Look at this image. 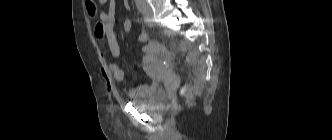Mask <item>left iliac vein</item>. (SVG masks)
I'll return each mask as SVG.
<instances>
[{
  "instance_id": "4c4485c4",
  "label": "left iliac vein",
  "mask_w": 332,
  "mask_h": 140,
  "mask_svg": "<svg viewBox=\"0 0 332 140\" xmlns=\"http://www.w3.org/2000/svg\"><path fill=\"white\" fill-rule=\"evenodd\" d=\"M143 15L146 23H148L150 26H153L154 25L153 11L150 5L145 2V0H144Z\"/></svg>"
}]
</instances>
